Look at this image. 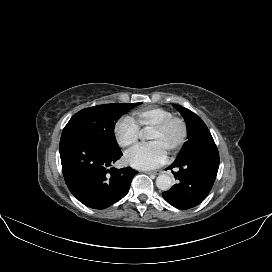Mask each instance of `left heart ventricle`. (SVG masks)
<instances>
[{"label": "left heart ventricle", "mask_w": 272, "mask_h": 272, "mask_svg": "<svg viewBox=\"0 0 272 272\" xmlns=\"http://www.w3.org/2000/svg\"><path fill=\"white\" fill-rule=\"evenodd\" d=\"M180 135V129L177 125H172L167 131L158 133L154 130L150 132L149 142H158L163 148L168 151L170 146L178 139Z\"/></svg>", "instance_id": "obj_1"}]
</instances>
